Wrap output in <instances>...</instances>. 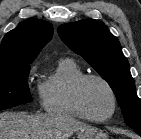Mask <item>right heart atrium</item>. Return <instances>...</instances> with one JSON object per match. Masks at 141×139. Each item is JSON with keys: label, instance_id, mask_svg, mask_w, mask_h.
<instances>
[{"label": "right heart atrium", "instance_id": "right-heart-atrium-1", "mask_svg": "<svg viewBox=\"0 0 141 139\" xmlns=\"http://www.w3.org/2000/svg\"><path fill=\"white\" fill-rule=\"evenodd\" d=\"M34 69H35L34 66H32V67H31V70H30L31 73L34 71Z\"/></svg>", "mask_w": 141, "mask_h": 139}]
</instances>
